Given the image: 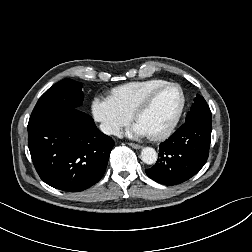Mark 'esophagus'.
I'll use <instances>...</instances> for the list:
<instances>
[{
	"instance_id": "34e87169",
	"label": "esophagus",
	"mask_w": 252,
	"mask_h": 252,
	"mask_svg": "<svg viewBox=\"0 0 252 252\" xmlns=\"http://www.w3.org/2000/svg\"><path fill=\"white\" fill-rule=\"evenodd\" d=\"M132 148L134 149H141L142 146L140 144H136V143H128Z\"/></svg>"
}]
</instances>
